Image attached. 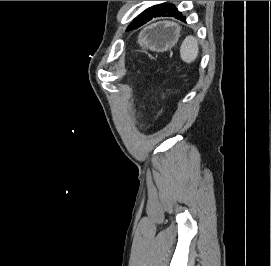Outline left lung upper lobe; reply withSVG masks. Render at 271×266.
<instances>
[{
  "mask_svg": "<svg viewBox=\"0 0 271 266\" xmlns=\"http://www.w3.org/2000/svg\"><path fill=\"white\" fill-rule=\"evenodd\" d=\"M175 5L173 4H159V5H155L153 7H150L148 9H146L140 16H138V18H136L130 25L129 27L131 28L132 26L136 25L137 22L145 17L146 15L152 13V12H156V11H170L171 9L174 8ZM128 27V28H129ZM130 30V29H129Z\"/></svg>",
  "mask_w": 271,
  "mask_h": 266,
  "instance_id": "left-lung-upper-lobe-1",
  "label": "left lung upper lobe"
}]
</instances>
